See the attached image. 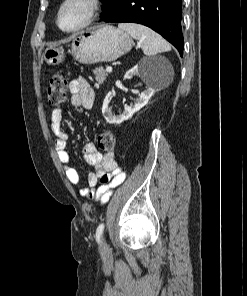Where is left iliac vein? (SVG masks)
Returning a JSON list of instances; mask_svg holds the SVG:
<instances>
[{
    "mask_svg": "<svg viewBox=\"0 0 247 296\" xmlns=\"http://www.w3.org/2000/svg\"><path fill=\"white\" fill-rule=\"evenodd\" d=\"M101 248H102V250H106L108 248V246H107L106 242L104 241V239H102Z\"/></svg>",
    "mask_w": 247,
    "mask_h": 296,
    "instance_id": "left-iliac-vein-1",
    "label": "left iliac vein"
}]
</instances>
